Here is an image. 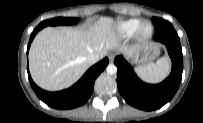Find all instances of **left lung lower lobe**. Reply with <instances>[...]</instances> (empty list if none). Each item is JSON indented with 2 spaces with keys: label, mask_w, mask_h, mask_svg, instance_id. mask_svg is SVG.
Wrapping results in <instances>:
<instances>
[{
  "label": "left lung lower lobe",
  "mask_w": 203,
  "mask_h": 123,
  "mask_svg": "<svg viewBox=\"0 0 203 123\" xmlns=\"http://www.w3.org/2000/svg\"><path fill=\"white\" fill-rule=\"evenodd\" d=\"M154 40L166 45L172 61V71L160 84L151 85L142 82L134 73L130 64L122 56H117V86L120 94L130 105L151 111L161 108L177 92L183 72V54L178 34L173 27L157 31Z\"/></svg>",
  "instance_id": "obj_1"
}]
</instances>
